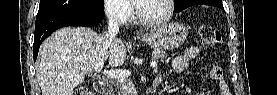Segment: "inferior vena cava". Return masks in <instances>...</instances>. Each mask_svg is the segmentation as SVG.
<instances>
[{
    "instance_id": "602c4592",
    "label": "inferior vena cava",
    "mask_w": 277,
    "mask_h": 95,
    "mask_svg": "<svg viewBox=\"0 0 277 95\" xmlns=\"http://www.w3.org/2000/svg\"><path fill=\"white\" fill-rule=\"evenodd\" d=\"M119 32V25L115 16H110L108 21V33L112 39H115Z\"/></svg>"
}]
</instances>
